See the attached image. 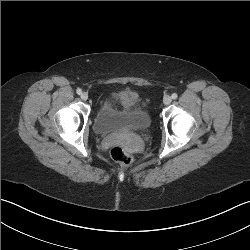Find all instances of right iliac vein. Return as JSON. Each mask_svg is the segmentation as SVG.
I'll return each instance as SVG.
<instances>
[{"instance_id":"obj_1","label":"right iliac vein","mask_w":250,"mask_h":250,"mask_svg":"<svg viewBox=\"0 0 250 250\" xmlns=\"http://www.w3.org/2000/svg\"><path fill=\"white\" fill-rule=\"evenodd\" d=\"M80 97L82 100L86 101L88 99V94L86 92H83Z\"/></svg>"}]
</instances>
